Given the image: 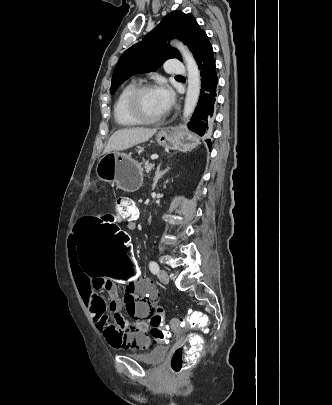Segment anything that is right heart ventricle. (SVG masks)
Listing matches in <instances>:
<instances>
[{"label": "right heart ventricle", "instance_id": "right-heart-ventricle-1", "mask_svg": "<svg viewBox=\"0 0 332 405\" xmlns=\"http://www.w3.org/2000/svg\"><path fill=\"white\" fill-rule=\"evenodd\" d=\"M138 87V84L136 82H130L127 85H125L117 95L115 102H114V107H113V113H114V119L115 122L122 127H132L136 126L139 123L134 120L127 112V100L130 94L133 92L135 88Z\"/></svg>", "mask_w": 332, "mask_h": 405}]
</instances>
